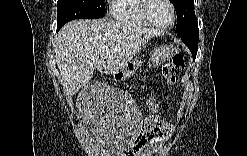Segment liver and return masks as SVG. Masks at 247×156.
Here are the masks:
<instances>
[{"mask_svg": "<svg viewBox=\"0 0 247 156\" xmlns=\"http://www.w3.org/2000/svg\"><path fill=\"white\" fill-rule=\"evenodd\" d=\"M158 30L111 20H75L55 37V58L63 86L71 93L85 86L97 69L114 75L124 69Z\"/></svg>", "mask_w": 247, "mask_h": 156, "instance_id": "1", "label": "liver"}]
</instances>
